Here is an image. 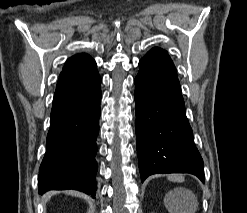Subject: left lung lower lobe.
Returning <instances> with one entry per match:
<instances>
[{"label":"left lung lower lobe","mask_w":247,"mask_h":213,"mask_svg":"<svg viewBox=\"0 0 247 213\" xmlns=\"http://www.w3.org/2000/svg\"><path fill=\"white\" fill-rule=\"evenodd\" d=\"M136 137L141 180L155 173H191L203 183L176 68L164 50L146 54L135 78Z\"/></svg>","instance_id":"1"}]
</instances>
